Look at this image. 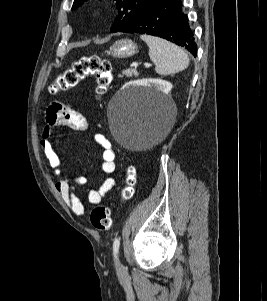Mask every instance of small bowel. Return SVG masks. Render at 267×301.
I'll return each instance as SVG.
<instances>
[{
	"label": "small bowel",
	"mask_w": 267,
	"mask_h": 301,
	"mask_svg": "<svg viewBox=\"0 0 267 301\" xmlns=\"http://www.w3.org/2000/svg\"><path fill=\"white\" fill-rule=\"evenodd\" d=\"M61 127H68L75 131H87L86 117L78 110L72 109L61 102L52 103L45 114V126L42 131L41 146L45 158L56 178V189L66 205L78 216H83L85 208L75 194L76 187H83L87 183L85 177H70L62 166L61 159L50 139ZM94 142L101 148V169L105 174L115 171V152L110 141L101 134L93 135ZM114 177L105 178L97 189H87V199L90 204H99L106 194L115 186Z\"/></svg>",
	"instance_id": "c3829d8e"
}]
</instances>
